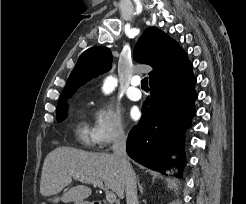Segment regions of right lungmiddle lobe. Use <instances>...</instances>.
Returning <instances> with one entry per match:
<instances>
[{"label":"right lung middle lobe","instance_id":"right-lung-middle-lobe-1","mask_svg":"<svg viewBox=\"0 0 246 204\" xmlns=\"http://www.w3.org/2000/svg\"><path fill=\"white\" fill-rule=\"evenodd\" d=\"M69 98H70V96L69 97H65V98H61L58 101V104H57V121L58 122H62L68 116V114H67L68 104H67L66 101Z\"/></svg>","mask_w":246,"mask_h":204}]
</instances>
